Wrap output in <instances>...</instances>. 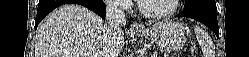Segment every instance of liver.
Segmentation results:
<instances>
[{"instance_id": "liver-1", "label": "liver", "mask_w": 249, "mask_h": 57, "mask_svg": "<svg viewBox=\"0 0 249 57\" xmlns=\"http://www.w3.org/2000/svg\"><path fill=\"white\" fill-rule=\"evenodd\" d=\"M124 32L110 34L103 19L77 4H64L38 26L35 57H119Z\"/></svg>"}]
</instances>
